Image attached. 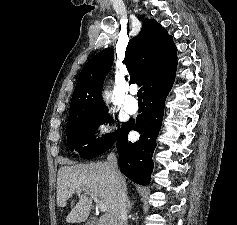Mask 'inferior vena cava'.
Returning a JSON list of instances; mask_svg holds the SVG:
<instances>
[{
  "instance_id": "obj_1",
  "label": "inferior vena cava",
  "mask_w": 237,
  "mask_h": 225,
  "mask_svg": "<svg viewBox=\"0 0 237 225\" xmlns=\"http://www.w3.org/2000/svg\"><path fill=\"white\" fill-rule=\"evenodd\" d=\"M107 163L111 170L112 175L114 176L117 187V217L118 225L127 224V195L126 189L123 186V177L118 170L117 158L114 153H110L107 157Z\"/></svg>"
}]
</instances>
